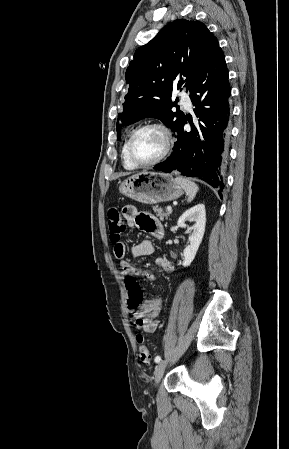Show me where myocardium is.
Listing matches in <instances>:
<instances>
[{"label": "myocardium", "instance_id": "myocardium-1", "mask_svg": "<svg viewBox=\"0 0 289 449\" xmlns=\"http://www.w3.org/2000/svg\"><path fill=\"white\" fill-rule=\"evenodd\" d=\"M154 129L160 132L163 137V149L158 157L149 161V162H139L136 160L133 154V143L136 136L143 130ZM173 143V136L171 130L162 122L158 121H149L144 124H141L136 129L133 130L129 139H128V156L131 162L137 167H149L161 162L170 152Z\"/></svg>", "mask_w": 289, "mask_h": 449}]
</instances>
